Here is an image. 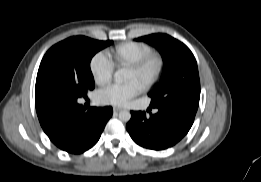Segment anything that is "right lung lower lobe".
I'll return each instance as SVG.
<instances>
[{
	"mask_svg": "<svg viewBox=\"0 0 261 182\" xmlns=\"http://www.w3.org/2000/svg\"><path fill=\"white\" fill-rule=\"evenodd\" d=\"M40 124L49 139L60 149L80 154L99 140L113 113L112 107L85 111L77 101L56 100L36 107Z\"/></svg>",
	"mask_w": 261,
	"mask_h": 182,
	"instance_id": "98d812e1",
	"label": "right lung lower lobe"
}]
</instances>
